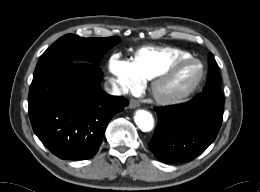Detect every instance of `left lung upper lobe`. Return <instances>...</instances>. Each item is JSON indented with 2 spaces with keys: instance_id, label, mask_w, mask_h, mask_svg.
Here are the masks:
<instances>
[{
  "instance_id": "obj_1",
  "label": "left lung upper lobe",
  "mask_w": 260,
  "mask_h": 192,
  "mask_svg": "<svg viewBox=\"0 0 260 192\" xmlns=\"http://www.w3.org/2000/svg\"><path fill=\"white\" fill-rule=\"evenodd\" d=\"M221 91L218 65L212 54L209 55V70L206 86L203 91Z\"/></svg>"
}]
</instances>
